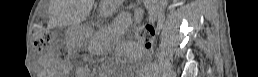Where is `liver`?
I'll list each match as a JSON object with an SVG mask.
<instances>
[{
	"mask_svg": "<svg viewBox=\"0 0 258 77\" xmlns=\"http://www.w3.org/2000/svg\"><path fill=\"white\" fill-rule=\"evenodd\" d=\"M75 16H76L75 11H73V12L70 14V16H69V14H68V17L70 18V21H72V22H75Z\"/></svg>",
	"mask_w": 258,
	"mask_h": 77,
	"instance_id": "obj_1",
	"label": "liver"
}]
</instances>
